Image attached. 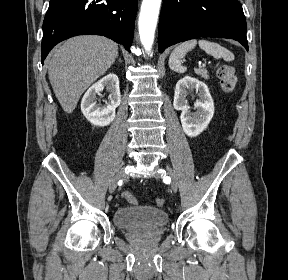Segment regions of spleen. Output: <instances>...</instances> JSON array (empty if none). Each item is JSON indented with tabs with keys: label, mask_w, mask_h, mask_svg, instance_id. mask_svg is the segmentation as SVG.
I'll use <instances>...</instances> for the list:
<instances>
[{
	"label": "spleen",
	"mask_w": 288,
	"mask_h": 280,
	"mask_svg": "<svg viewBox=\"0 0 288 280\" xmlns=\"http://www.w3.org/2000/svg\"><path fill=\"white\" fill-rule=\"evenodd\" d=\"M197 43L202 50H204L207 54L212 55L216 59L223 58L225 61L234 60V54L220 44L205 39H201L199 41L192 39L179 44L172 51L169 57L170 69L177 73L186 72L187 67L182 65L181 59L185 57V55L191 51L197 45Z\"/></svg>",
	"instance_id": "1"
}]
</instances>
